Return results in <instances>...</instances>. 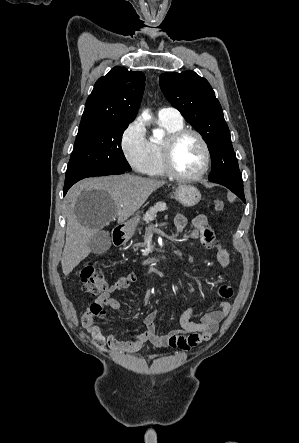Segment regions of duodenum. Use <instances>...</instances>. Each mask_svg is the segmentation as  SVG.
Returning a JSON list of instances; mask_svg holds the SVG:
<instances>
[{
    "instance_id": "1",
    "label": "duodenum",
    "mask_w": 299,
    "mask_h": 443,
    "mask_svg": "<svg viewBox=\"0 0 299 443\" xmlns=\"http://www.w3.org/2000/svg\"><path fill=\"white\" fill-rule=\"evenodd\" d=\"M112 239L115 246L123 245L126 241V226L118 225L117 227H115L112 231ZM163 259L164 257L152 256L144 259L142 264L145 267H148L162 261Z\"/></svg>"
}]
</instances>
